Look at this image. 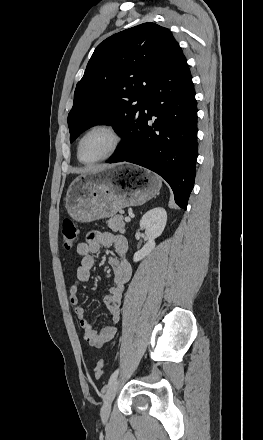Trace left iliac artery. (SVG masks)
<instances>
[{
	"mask_svg": "<svg viewBox=\"0 0 263 440\" xmlns=\"http://www.w3.org/2000/svg\"><path fill=\"white\" fill-rule=\"evenodd\" d=\"M119 373V369L115 370L112 375L110 376L109 382H108V386H110L117 378Z\"/></svg>",
	"mask_w": 263,
	"mask_h": 440,
	"instance_id": "left-iliac-artery-1",
	"label": "left iliac artery"
}]
</instances>
